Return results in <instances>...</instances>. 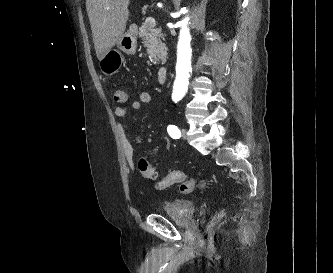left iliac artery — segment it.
Listing matches in <instances>:
<instances>
[{
	"instance_id": "44dca946",
	"label": "left iliac artery",
	"mask_w": 333,
	"mask_h": 273,
	"mask_svg": "<svg viewBox=\"0 0 333 273\" xmlns=\"http://www.w3.org/2000/svg\"><path fill=\"white\" fill-rule=\"evenodd\" d=\"M167 131L173 139H179L181 137V132L175 125H169Z\"/></svg>"
}]
</instances>
